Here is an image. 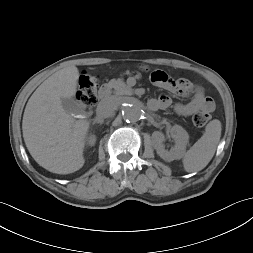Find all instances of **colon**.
<instances>
[{"instance_id": "obj_1", "label": "colon", "mask_w": 253, "mask_h": 253, "mask_svg": "<svg viewBox=\"0 0 253 253\" xmlns=\"http://www.w3.org/2000/svg\"><path fill=\"white\" fill-rule=\"evenodd\" d=\"M146 70V68H144ZM159 71L152 73V77H158ZM78 101L86 107L93 106L97 101V81L96 78L90 74L84 73L79 79V90L77 93ZM210 120V114L208 112H198L193 118V124L196 127L205 126Z\"/></svg>"}]
</instances>
